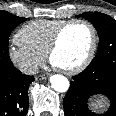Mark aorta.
Listing matches in <instances>:
<instances>
[{"instance_id": "762f6f07", "label": "aorta", "mask_w": 116, "mask_h": 116, "mask_svg": "<svg viewBox=\"0 0 116 116\" xmlns=\"http://www.w3.org/2000/svg\"><path fill=\"white\" fill-rule=\"evenodd\" d=\"M50 83L52 88L57 92H66L69 89V81L63 75H52L50 77Z\"/></svg>"}]
</instances>
